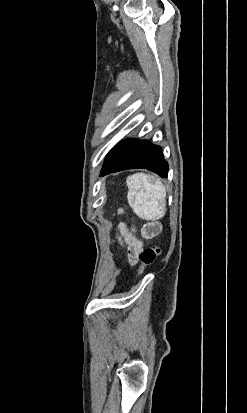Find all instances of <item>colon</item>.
<instances>
[{
	"label": "colon",
	"mask_w": 247,
	"mask_h": 413,
	"mask_svg": "<svg viewBox=\"0 0 247 413\" xmlns=\"http://www.w3.org/2000/svg\"><path fill=\"white\" fill-rule=\"evenodd\" d=\"M161 247H149L142 250V256L140 257V262L142 265L139 266L140 272H146L148 268L154 265V261L161 254Z\"/></svg>",
	"instance_id": "obj_1"
}]
</instances>
